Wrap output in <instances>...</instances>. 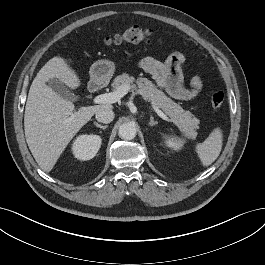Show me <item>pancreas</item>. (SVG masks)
I'll use <instances>...</instances> for the list:
<instances>
[{
  "label": "pancreas",
  "mask_w": 265,
  "mask_h": 265,
  "mask_svg": "<svg viewBox=\"0 0 265 265\" xmlns=\"http://www.w3.org/2000/svg\"><path fill=\"white\" fill-rule=\"evenodd\" d=\"M136 82V84H134ZM121 86H128L129 90H137L145 98L151 100L158 108L165 112L174 124L189 139H195L197 136L196 129L199 128L200 120L196 118L190 111H185L175 103L171 98L166 96L157 86L147 78L135 79L124 73L117 76L112 83L114 89Z\"/></svg>",
  "instance_id": "1"
}]
</instances>
